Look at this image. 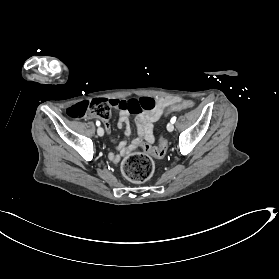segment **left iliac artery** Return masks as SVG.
Masks as SVG:
<instances>
[{
  "mask_svg": "<svg viewBox=\"0 0 279 279\" xmlns=\"http://www.w3.org/2000/svg\"><path fill=\"white\" fill-rule=\"evenodd\" d=\"M175 122H176V117L174 116L171 118V123H175Z\"/></svg>",
  "mask_w": 279,
  "mask_h": 279,
  "instance_id": "obj_1",
  "label": "left iliac artery"
}]
</instances>
